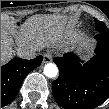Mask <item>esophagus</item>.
I'll list each match as a JSON object with an SVG mask.
<instances>
[{
	"label": "esophagus",
	"mask_w": 109,
	"mask_h": 109,
	"mask_svg": "<svg viewBox=\"0 0 109 109\" xmlns=\"http://www.w3.org/2000/svg\"><path fill=\"white\" fill-rule=\"evenodd\" d=\"M52 61V56L50 53H46L43 56V63H49Z\"/></svg>",
	"instance_id": "34e87169"
}]
</instances>
